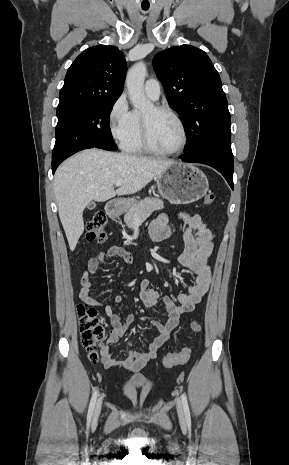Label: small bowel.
<instances>
[{
	"mask_svg": "<svg viewBox=\"0 0 289 465\" xmlns=\"http://www.w3.org/2000/svg\"><path fill=\"white\" fill-rule=\"evenodd\" d=\"M175 218L179 220L184 228L185 251L179 257L181 266L191 270L195 274L194 282L186 292L178 296V304L168 296L163 297L166 309V321L152 320L151 326L157 331V335L149 343L147 350L140 352L133 348L132 343L128 344V357L121 362L116 361L110 351V346L116 344L119 339L137 322V318L132 314H126L125 308L122 313H114L113 306L122 302L121 296H116L111 302H101L92 295L91 277L97 269L104 263L106 258H122L126 264H132L135 257L132 253L118 246H111L106 251L98 252L92 257L86 266V270L80 280V298L92 306L104 309L111 324L106 344L100 351L101 361L105 368L115 366L122 367L128 371L138 373L149 361L157 356L158 350L168 340L172 330L178 325L182 315L194 310L203 296L208 292L211 283V271L208 259L213 250V242L210 230L206 227L201 216L179 212ZM172 216L162 213L156 217L150 226V234L154 241L160 242L171 236L170 223ZM140 298L146 307L155 306L160 294L150 287V281L144 279L140 282Z\"/></svg>",
	"mask_w": 289,
	"mask_h": 465,
	"instance_id": "obj_1",
	"label": "small bowel"
}]
</instances>
